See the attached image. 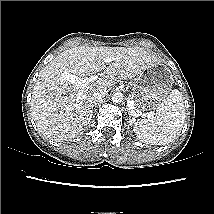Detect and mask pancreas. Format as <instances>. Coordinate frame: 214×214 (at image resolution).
Instances as JSON below:
<instances>
[{"mask_svg": "<svg viewBox=\"0 0 214 214\" xmlns=\"http://www.w3.org/2000/svg\"><path fill=\"white\" fill-rule=\"evenodd\" d=\"M133 111H137V109L134 107V104L132 106Z\"/></svg>", "mask_w": 214, "mask_h": 214, "instance_id": "1", "label": "pancreas"}]
</instances>
